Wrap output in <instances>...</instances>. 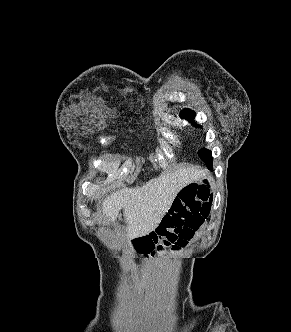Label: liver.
I'll list each match as a JSON object with an SVG mask.
<instances>
[{
    "mask_svg": "<svg viewBox=\"0 0 291 332\" xmlns=\"http://www.w3.org/2000/svg\"><path fill=\"white\" fill-rule=\"evenodd\" d=\"M206 175L196 166L182 165L163 173L139 187L123 188L108 196L103 214L114 221L121 209L127 225V237L144 236L154 231L171 208L177 194L188 184L198 183Z\"/></svg>",
    "mask_w": 291,
    "mask_h": 332,
    "instance_id": "obj_1",
    "label": "liver"
}]
</instances>
